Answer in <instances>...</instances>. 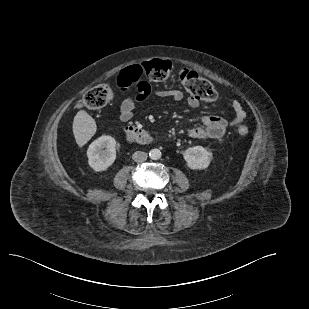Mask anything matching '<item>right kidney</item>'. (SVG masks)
Here are the masks:
<instances>
[{
	"label": "right kidney",
	"mask_w": 309,
	"mask_h": 309,
	"mask_svg": "<svg viewBox=\"0 0 309 309\" xmlns=\"http://www.w3.org/2000/svg\"><path fill=\"white\" fill-rule=\"evenodd\" d=\"M88 164L95 171L107 170L116 159V141L113 137L102 135L93 141L87 150Z\"/></svg>",
	"instance_id": "ca27d5eb"
}]
</instances>
